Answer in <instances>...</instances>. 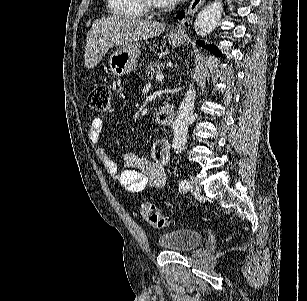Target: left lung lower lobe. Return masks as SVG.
I'll return each instance as SVG.
<instances>
[{
  "instance_id": "0a47b994",
  "label": "left lung lower lobe",
  "mask_w": 307,
  "mask_h": 301,
  "mask_svg": "<svg viewBox=\"0 0 307 301\" xmlns=\"http://www.w3.org/2000/svg\"><path fill=\"white\" fill-rule=\"evenodd\" d=\"M183 15H184V13H183V11H182V12H180V13L178 14V17H179V18H182ZM197 44L202 45L203 42H202L201 40H198V41H197ZM206 47L208 48V50H210V51L213 52L214 54H217V55H220V56H221V53H220V51L217 49L216 46H214V45H208V46H206Z\"/></svg>"
}]
</instances>
